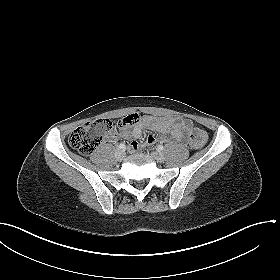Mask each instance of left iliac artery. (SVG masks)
Masks as SVG:
<instances>
[{
  "mask_svg": "<svg viewBox=\"0 0 280 280\" xmlns=\"http://www.w3.org/2000/svg\"><path fill=\"white\" fill-rule=\"evenodd\" d=\"M164 149V147L162 146V145H159L158 147H157V150L158 151H162Z\"/></svg>",
  "mask_w": 280,
  "mask_h": 280,
  "instance_id": "1",
  "label": "left iliac artery"
}]
</instances>
